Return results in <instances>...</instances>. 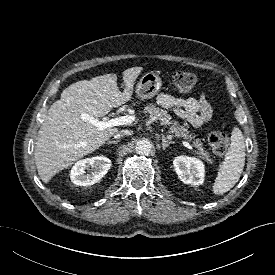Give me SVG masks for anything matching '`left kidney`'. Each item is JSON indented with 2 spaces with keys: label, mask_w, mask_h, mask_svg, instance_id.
<instances>
[{
  "label": "left kidney",
  "mask_w": 275,
  "mask_h": 275,
  "mask_svg": "<svg viewBox=\"0 0 275 275\" xmlns=\"http://www.w3.org/2000/svg\"><path fill=\"white\" fill-rule=\"evenodd\" d=\"M175 171L185 184L201 185L204 182V164L195 157L179 156L173 160Z\"/></svg>",
  "instance_id": "1"
}]
</instances>
